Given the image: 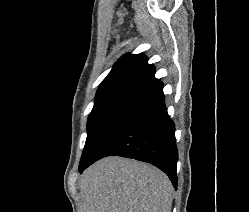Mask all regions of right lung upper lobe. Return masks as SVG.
Returning <instances> with one entry per match:
<instances>
[{"label": "right lung upper lobe", "instance_id": "cb5924a9", "mask_svg": "<svg viewBox=\"0 0 249 212\" xmlns=\"http://www.w3.org/2000/svg\"><path fill=\"white\" fill-rule=\"evenodd\" d=\"M155 67L148 64V58L140 54H126L114 65L101 82L95 98L114 93L141 96L163 84L155 76Z\"/></svg>", "mask_w": 249, "mask_h": 212}]
</instances>
